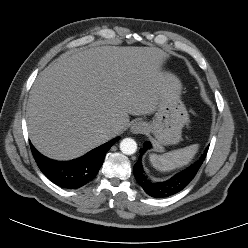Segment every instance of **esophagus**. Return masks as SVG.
I'll return each mask as SVG.
<instances>
[{
    "label": "esophagus",
    "mask_w": 248,
    "mask_h": 248,
    "mask_svg": "<svg viewBox=\"0 0 248 248\" xmlns=\"http://www.w3.org/2000/svg\"><path fill=\"white\" fill-rule=\"evenodd\" d=\"M130 130L133 134H141L145 131V125L141 121H136L132 124Z\"/></svg>",
    "instance_id": "34e87169"
}]
</instances>
